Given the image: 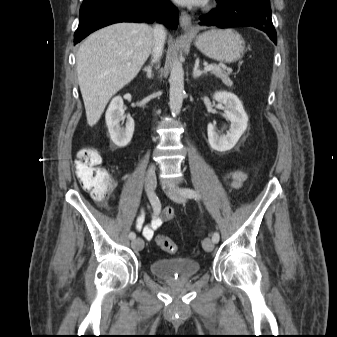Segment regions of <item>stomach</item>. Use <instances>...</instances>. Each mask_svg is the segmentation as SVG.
<instances>
[{"label":"stomach","instance_id":"1","mask_svg":"<svg viewBox=\"0 0 337 337\" xmlns=\"http://www.w3.org/2000/svg\"><path fill=\"white\" fill-rule=\"evenodd\" d=\"M195 46L207 57L232 63L245 53L243 38L232 29H212L199 35Z\"/></svg>","mask_w":337,"mask_h":337}]
</instances>
